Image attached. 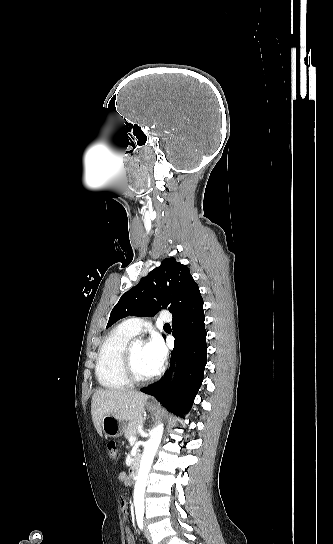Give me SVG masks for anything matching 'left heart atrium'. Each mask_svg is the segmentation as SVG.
Segmentation results:
<instances>
[{"mask_svg": "<svg viewBox=\"0 0 333 544\" xmlns=\"http://www.w3.org/2000/svg\"><path fill=\"white\" fill-rule=\"evenodd\" d=\"M145 353L150 366L157 372L166 358V348L162 340L157 336L152 337L145 345Z\"/></svg>", "mask_w": 333, "mask_h": 544, "instance_id": "left-heart-atrium-1", "label": "left heart atrium"}]
</instances>
